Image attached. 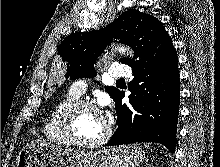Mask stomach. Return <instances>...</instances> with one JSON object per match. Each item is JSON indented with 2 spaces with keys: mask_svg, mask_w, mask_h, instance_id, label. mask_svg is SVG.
<instances>
[{
  "mask_svg": "<svg viewBox=\"0 0 220 167\" xmlns=\"http://www.w3.org/2000/svg\"><path fill=\"white\" fill-rule=\"evenodd\" d=\"M144 157L137 145L84 152L35 141L20 150L16 167H138Z\"/></svg>",
  "mask_w": 220,
  "mask_h": 167,
  "instance_id": "stomach-1",
  "label": "stomach"
}]
</instances>
